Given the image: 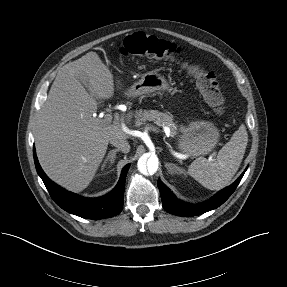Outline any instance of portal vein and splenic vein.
I'll return each instance as SVG.
<instances>
[{
    "label": "portal vein and splenic vein",
    "mask_w": 287,
    "mask_h": 287,
    "mask_svg": "<svg viewBox=\"0 0 287 287\" xmlns=\"http://www.w3.org/2000/svg\"><path fill=\"white\" fill-rule=\"evenodd\" d=\"M112 118H113V117H112L111 114H105V115H104V119H101V120H102V123H103V124L107 125V124H110V123H111ZM150 130H152L153 132H156V133L159 132V129L156 128V127H154V126L150 127ZM165 131H168V132H169V129L167 130V128H166Z\"/></svg>",
    "instance_id": "portal-vein-and-splenic-vein-1"
}]
</instances>
